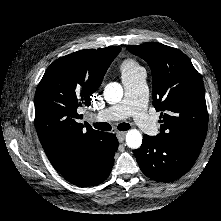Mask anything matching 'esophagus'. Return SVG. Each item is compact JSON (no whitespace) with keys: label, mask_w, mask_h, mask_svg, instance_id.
<instances>
[{"label":"esophagus","mask_w":221,"mask_h":221,"mask_svg":"<svg viewBox=\"0 0 221 221\" xmlns=\"http://www.w3.org/2000/svg\"><path fill=\"white\" fill-rule=\"evenodd\" d=\"M116 136H117L118 141L122 143L125 139V132H117Z\"/></svg>","instance_id":"34e87169"}]
</instances>
